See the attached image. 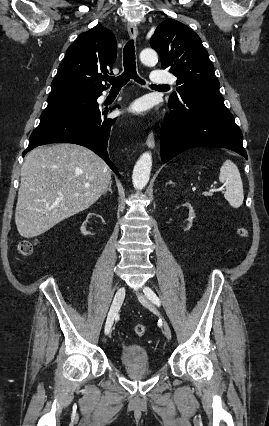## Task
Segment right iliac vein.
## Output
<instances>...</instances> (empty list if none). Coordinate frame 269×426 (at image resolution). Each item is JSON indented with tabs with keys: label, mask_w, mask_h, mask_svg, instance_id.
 Wrapping results in <instances>:
<instances>
[{
	"label": "right iliac vein",
	"mask_w": 269,
	"mask_h": 426,
	"mask_svg": "<svg viewBox=\"0 0 269 426\" xmlns=\"http://www.w3.org/2000/svg\"><path fill=\"white\" fill-rule=\"evenodd\" d=\"M124 296H125V288L120 287L115 294V297L113 299L112 305L110 307V310L106 319V323H105L106 334H109L111 331V327L113 325L116 314L124 300Z\"/></svg>",
	"instance_id": "1"
}]
</instances>
